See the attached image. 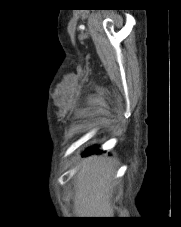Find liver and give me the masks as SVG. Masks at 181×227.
Masks as SVG:
<instances>
[{
    "label": "liver",
    "instance_id": "obj_1",
    "mask_svg": "<svg viewBox=\"0 0 181 227\" xmlns=\"http://www.w3.org/2000/svg\"><path fill=\"white\" fill-rule=\"evenodd\" d=\"M114 167L112 159L96 157L79 170L74 200V211L79 215L77 217H112L113 208L109 198Z\"/></svg>",
    "mask_w": 181,
    "mask_h": 227
}]
</instances>
